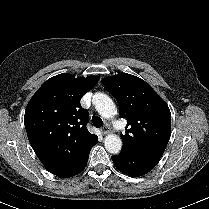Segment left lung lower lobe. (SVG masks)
<instances>
[{"label": "left lung lower lobe", "instance_id": "1", "mask_svg": "<svg viewBox=\"0 0 209 209\" xmlns=\"http://www.w3.org/2000/svg\"><path fill=\"white\" fill-rule=\"evenodd\" d=\"M112 160L121 172L129 176L138 177L151 171L160 158L122 151L118 156H113Z\"/></svg>", "mask_w": 209, "mask_h": 209}]
</instances>
